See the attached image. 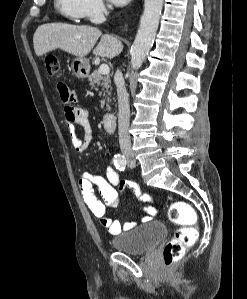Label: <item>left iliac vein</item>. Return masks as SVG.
<instances>
[{
	"label": "left iliac vein",
	"instance_id": "1",
	"mask_svg": "<svg viewBox=\"0 0 247 299\" xmlns=\"http://www.w3.org/2000/svg\"><path fill=\"white\" fill-rule=\"evenodd\" d=\"M136 166V162L133 160V161H129V167L130 168H134Z\"/></svg>",
	"mask_w": 247,
	"mask_h": 299
}]
</instances>
